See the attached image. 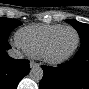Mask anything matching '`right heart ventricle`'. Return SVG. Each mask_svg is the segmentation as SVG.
<instances>
[{
    "instance_id": "1",
    "label": "right heart ventricle",
    "mask_w": 89,
    "mask_h": 89,
    "mask_svg": "<svg viewBox=\"0 0 89 89\" xmlns=\"http://www.w3.org/2000/svg\"><path fill=\"white\" fill-rule=\"evenodd\" d=\"M61 27L63 26L60 24H31L21 28L16 37L28 55L40 57L42 46L47 38Z\"/></svg>"
}]
</instances>
